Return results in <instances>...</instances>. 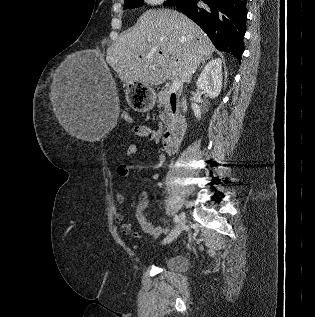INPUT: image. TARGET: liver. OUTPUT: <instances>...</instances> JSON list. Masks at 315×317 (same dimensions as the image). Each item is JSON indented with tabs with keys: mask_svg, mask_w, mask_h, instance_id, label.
I'll return each instance as SVG.
<instances>
[{
	"mask_svg": "<svg viewBox=\"0 0 315 317\" xmlns=\"http://www.w3.org/2000/svg\"><path fill=\"white\" fill-rule=\"evenodd\" d=\"M214 50L201 28L182 13L150 9L107 50L106 60L126 85L140 82L152 86L166 80L187 79L202 58L211 56ZM70 63L71 59H67L61 68ZM52 105L63 128L82 138L81 122L58 99L53 98Z\"/></svg>",
	"mask_w": 315,
	"mask_h": 317,
	"instance_id": "1",
	"label": "liver"
}]
</instances>
